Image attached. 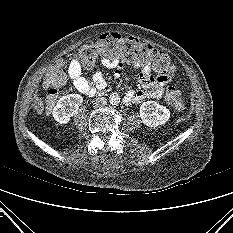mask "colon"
Returning a JSON list of instances; mask_svg holds the SVG:
<instances>
[{
  "instance_id": "5ec220e1",
  "label": "colon",
  "mask_w": 233,
  "mask_h": 233,
  "mask_svg": "<svg viewBox=\"0 0 233 233\" xmlns=\"http://www.w3.org/2000/svg\"><path fill=\"white\" fill-rule=\"evenodd\" d=\"M102 54L109 57H119L128 62H151L159 72L163 73H172L174 71V65L165 52L149 44L142 43L135 38H123L114 33L102 35L95 44H87L80 47L75 57L83 66L90 68L95 64L98 56ZM63 82L62 64L58 62L51 67L45 79V87L47 89L45 108L47 111H50L55 105L59 87ZM165 101L176 111L180 112L184 109L182 94L177 88L169 87L166 90Z\"/></svg>"
}]
</instances>
